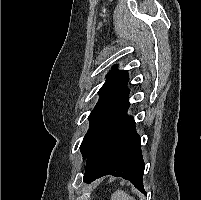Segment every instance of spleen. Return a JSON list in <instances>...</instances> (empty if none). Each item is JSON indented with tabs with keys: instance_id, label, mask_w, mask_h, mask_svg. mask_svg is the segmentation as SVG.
<instances>
[{
	"instance_id": "1",
	"label": "spleen",
	"mask_w": 201,
	"mask_h": 200,
	"mask_svg": "<svg viewBox=\"0 0 201 200\" xmlns=\"http://www.w3.org/2000/svg\"><path fill=\"white\" fill-rule=\"evenodd\" d=\"M111 200H135L133 197H131L128 193L117 190L111 195Z\"/></svg>"
}]
</instances>
